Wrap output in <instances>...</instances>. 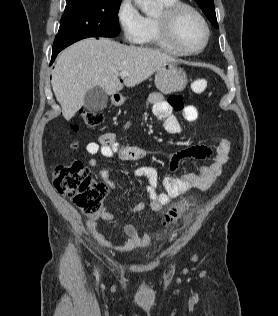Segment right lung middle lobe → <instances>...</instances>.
<instances>
[{"mask_svg": "<svg viewBox=\"0 0 278 316\" xmlns=\"http://www.w3.org/2000/svg\"><path fill=\"white\" fill-rule=\"evenodd\" d=\"M53 51L87 37H113L120 33L121 0H66Z\"/></svg>", "mask_w": 278, "mask_h": 316, "instance_id": "dd1d6c3e", "label": "right lung middle lobe"}]
</instances>
